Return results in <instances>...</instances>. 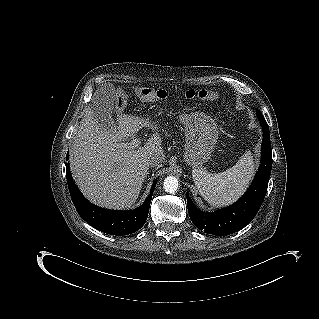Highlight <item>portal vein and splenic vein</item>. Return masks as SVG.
<instances>
[{
	"mask_svg": "<svg viewBox=\"0 0 319 319\" xmlns=\"http://www.w3.org/2000/svg\"><path fill=\"white\" fill-rule=\"evenodd\" d=\"M141 140L139 138L133 139L130 143H121L117 148H137L140 146Z\"/></svg>",
	"mask_w": 319,
	"mask_h": 319,
	"instance_id": "obj_1",
	"label": "portal vein and splenic vein"
}]
</instances>
